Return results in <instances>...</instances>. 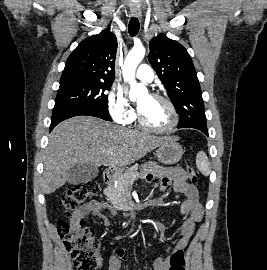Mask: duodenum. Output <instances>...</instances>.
<instances>
[{
	"label": "duodenum",
	"mask_w": 267,
	"mask_h": 270,
	"mask_svg": "<svg viewBox=\"0 0 267 270\" xmlns=\"http://www.w3.org/2000/svg\"><path fill=\"white\" fill-rule=\"evenodd\" d=\"M114 177V172L112 169H107L105 172H104V175H103V180L105 183H108L110 182Z\"/></svg>",
	"instance_id": "duodenum-1"
}]
</instances>
